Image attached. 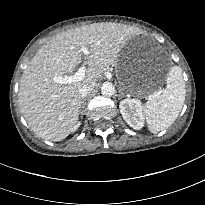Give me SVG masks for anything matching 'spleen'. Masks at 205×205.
<instances>
[{
    "mask_svg": "<svg viewBox=\"0 0 205 205\" xmlns=\"http://www.w3.org/2000/svg\"><path fill=\"white\" fill-rule=\"evenodd\" d=\"M186 96L182 69L171 67L163 93L150 95L142 107L148 129L158 133L171 126L179 116Z\"/></svg>",
    "mask_w": 205,
    "mask_h": 205,
    "instance_id": "3e777b00",
    "label": "spleen"
}]
</instances>
